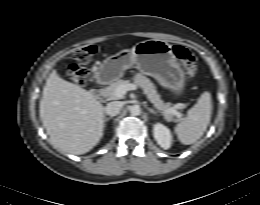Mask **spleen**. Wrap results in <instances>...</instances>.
Here are the masks:
<instances>
[{
    "instance_id": "obj_1",
    "label": "spleen",
    "mask_w": 260,
    "mask_h": 205,
    "mask_svg": "<svg viewBox=\"0 0 260 205\" xmlns=\"http://www.w3.org/2000/svg\"><path fill=\"white\" fill-rule=\"evenodd\" d=\"M211 112V94L206 91L201 94L197 103L188 110L186 117L175 127V132L182 144H193L202 137L210 123Z\"/></svg>"
}]
</instances>
